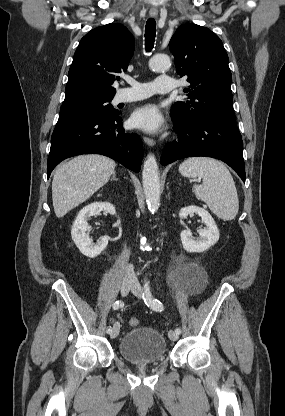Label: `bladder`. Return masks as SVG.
I'll use <instances>...</instances> for the list:
<instances>
[{
	"instance_id": "31cf9c89",
	"label": "bladder",
	"mask_w": 285,
	"mask_h": 416,
	"mask_svg": "<svg viewBox=\"0 0 285 416\" xmlns=\"http://www.w3.org/2000/svg\"><path fill=\"white\" fill-rule=\"evenodd\" d=\"M121 359L129 363L156 364L167 356L164 335L150 326L130 329L118 342Z\"/></svg>"
}]
</instances>
